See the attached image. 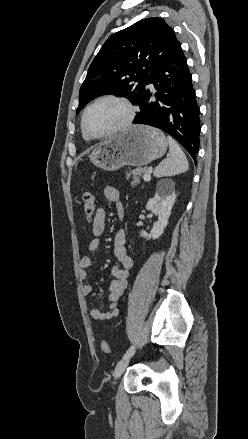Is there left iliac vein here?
Here are the masks:
<instances>
[{
	"mask_svg": "<svg viewBox=\"0 0 248 439\" xmlns=\"http://www.w3.org/2000/svg\"><path fill=\"white\" fill-rule=\"evenodd\" d=\"M129 361H130V357L123 358L117 363L113 374L115 381L124 373V371L126 370L129 364Z\"/></svg>",
	"mask_w": 248,
	"mask_h": 439,
	"instance_id": "1",
	"label": "left iliac vein"
}]
</instances>
